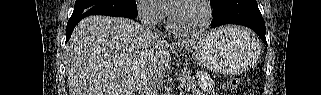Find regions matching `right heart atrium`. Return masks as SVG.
I'll list each match as a JSON object with an SVG mask.
<instances>
[{"label": "right heart atrium", "instance_id": "d8ad5b80", "mask_svg": "<svg viewBox=\"0 0 321 95\" xmlns=\"http://www.w3.org/2000/svg\"><path fill=\"white\" fill-rule=\"evenodd\" d=\"M137 12L140 20L149 25L156 24L161 18V12L154 0L137 1Z\"/></svg>", "mask_w": 321, "mask_h": 95}]
</instances>
